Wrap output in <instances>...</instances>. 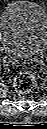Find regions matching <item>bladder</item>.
<instances>
[{
  "instance_id": "31cf9c89",
  "label": "bladder",
  "mask_w": 47,
  "mask_h": 129,
  "mask_svg": "<svg viewBox=\"0 0 47 129\" xmlns=\"http://www.w3.org/2000/svg\"><path fill=\"white\" fill-rule=\"evenodd\" d=\"M47 13L45 8L32 0L8 3L0 19V41L9 54L31 58L45 48Z\"/></svg>"
}]
</instances>
